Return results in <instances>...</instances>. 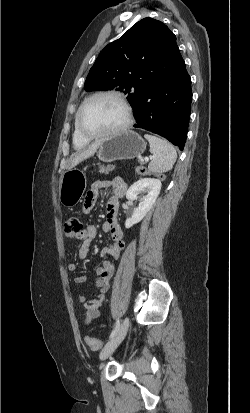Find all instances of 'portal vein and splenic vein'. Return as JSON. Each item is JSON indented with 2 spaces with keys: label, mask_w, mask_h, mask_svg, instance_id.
I'll return each mask as SVG.
<instances>
[{
  "label": "portal vein and splenic vein",
  "mask_w": 250,
  "mask_h": 413,
  "mask_svg": "<svg viewBox=\"0 0 250 413\" xmlns=\"http://www.w3.org/2000/svg\"><path fill=\"white\" fill-rule=\"evenodd\" d=\"M151 159V158H150ZM143 161V160H142ZM144 161L145 162H148L149 161V158L148 157H146L145 159H144Z\"/></svg>",
  "instance_id": "portal-vein-and-splenic-vein-1"
}]
</instances>
